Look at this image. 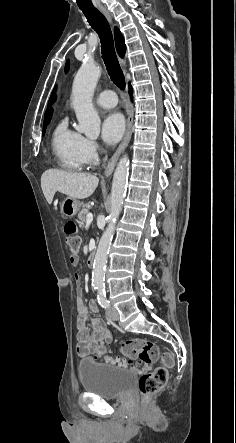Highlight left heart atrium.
I'll return each instance as SVG.
<instances>
[{
	"label": "left heart atrium",
	"instance_id": "39dd6f15",
	"mask_svg": "<svg viewBox=\"0 0 236 443\" xmlns=\"http://www.w3.org/2000/svg\"><path fill=\"white\" fill-rule=\"evenodd\" d=\"M125 131V120L122 114L110 112L106 114L101 123V136L105 143H117Z\"/></svg>",
	"mask_w": 236,
	"mask_h": 443
}]
</instances>
